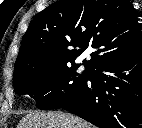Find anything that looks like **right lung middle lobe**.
<instances>
[{
	"instance_id": "dd1d6c3e",
	"label": "right lung middle lobe",
	"mask_w": 142,
	"mask_h": 128,
	"mask_svg": "<svg viewBox=\"0 0 142 128\" xmlns=\"http://www.w3.org/2000/svg\"><path fill=\"white\" fill-rule=\"evenodd\" d=\"M79 65L36 64L14 75V91L27 94L39 109H59L67 105L86 85L91 69L82 74Z\"/></svg>"
}]
</instances>
